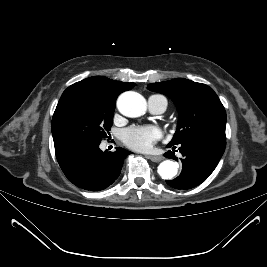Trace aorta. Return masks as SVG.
Wrapping results in <instances>:
<instances>
[{
	"instance_id": "762f6f07",
	"label": "aorta",
	"mask_w": 267,
	"mask_h": 267,
	"mask_svg": "<svg viewBox=\"0 0 267 267\" xmlns=\"http://www.w3.org/2000/svg\"><path fill=\"white\" fill-rule=\"evenodd\" d=\"M117 107L126 117H139L146 112L147 103L142 95L136 92H125L117 100ZM178 163L165 160L158 166V174L162 179H172L178 172Z\"/></svg>"
}]
</instances>
